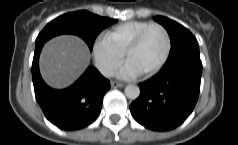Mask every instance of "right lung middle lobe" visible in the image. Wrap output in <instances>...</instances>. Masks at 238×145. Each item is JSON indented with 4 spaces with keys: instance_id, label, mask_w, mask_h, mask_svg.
I'll return each mask as SVG.
<instances>
[{
    "instance_id": "1",
    "label": "right lung middle lobe",
    "mask_w": 238,
    "mask_h": 145,
    "mask_svg": "<svg viewBox=\"0 0 238 145\" xmlns=\"http://www.w3.org/2000/svg\"><path fill=\"white\" fill-rule=\"evenodd\" d=\"M117 22L94 15L88 11H75L61 15L48 23L36 39V45L61 34H75L81 37L92 50L97 35L109 25Z\"/></svg>"
}]
</instances>
